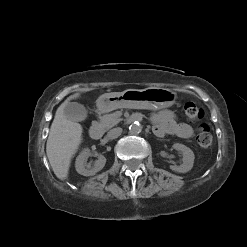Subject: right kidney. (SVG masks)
<instances>
[{
  "instance_id": "ca27d5eb",
  "label": "right kidney",
  "mask_w": 247,
  "mask_h": 247,
  "mask_svg": "<svg viewBox=\"0 0 247 247\" xmlns=\"http://www.w3.org/2000/svg\"><path fill=\"white\" fill-rule=\"evenodd\" d=\"M91 152L88 148L84 149L76 158L75 167L76 171L83 176H93L99 172L106 163V158L102 154L96 153L98 159L91 164H87V158L91 156Z\"/></svg>"
}]
</instances>
